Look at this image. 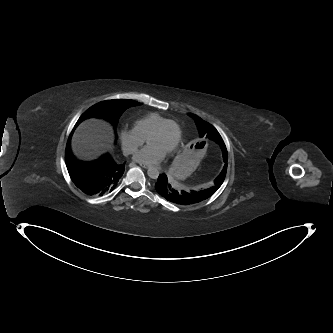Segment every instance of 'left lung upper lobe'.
I'll return each instance as SVG.
<instances>
[{
    "mask_svg": "<svg viewBox=\"0 0 333 333\" xmlns=\"http://www.w3.org/2000/svg\"><path fill=\"white\" fill-rule=\"evenodd\" d=\"M189 115L195 120L201 137L209 138L220 144V146L222 148V152H223L224 162H227V160H228L227 150H226L225 144L224 145L221 144L224 142H223L220 134L218 133V131L212 125L203 121L198 116H196L194 114H189ZM226 169H227V164L224 165L222 172L215 180V185L217 186V188H219L224 181V178L226 175Z\"/></svg>",
    "mask_w": 333,
    "mask_h": 333,
    "instance_id": "1",
    "label": "left lung upper lobe"
}]
</instances>
